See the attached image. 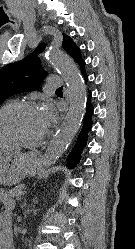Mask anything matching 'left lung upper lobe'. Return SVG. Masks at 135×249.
Returning <instances> with one entry per match:
<instances>
[{
	"mask_svg": "<svg viewBox=\"0 0 135 249\" xmlns=\"http://www.w3.org/2000/svg\"><path fill=\"white\" fill-rule=\"evenodd\" d=\"M44 46L40 44L24 59L0 69V104L14 94L34 90L41 84L47 73L42 69L37 55L43 51ZM62 47L80 67L85 65L80 49L65 34H63Z\"/></svg>",
	"mask_w": 135,
	"mask_h": 249,
	"instance_id": "1",
	"label": "left lung upper lobe"
}]
</instances>
